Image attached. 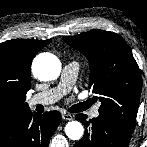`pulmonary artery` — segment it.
Here are the masks:
<instances>
[{"mask_svg":"<svg viewBox=\"0 0 147 147\" xmlns=\"http://www.w3.org/2000/svg\"><path fill=\"white\" fill-rule=\"evenodd\" d=\"M79 65L77 62L67 63L62 70L59 84L56 87L40 92L32 96L28 103L30 106L37 104H52L69 93L76 81ZM92 118L99 116V105H96L90 112Z\"/></svg>","mask_w":147,"mask_h":147,"instance_id":"1","label":"pulmonary artery"}]
</instances>
